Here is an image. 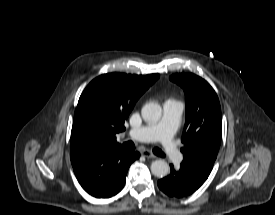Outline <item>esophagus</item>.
<instances>
[{"label":"esophagus","mask_w":275,"mask_h":215,"mask_svg":"<svg viewBox=\"0 0 275 215\" xmlns=\"http://www.w3.org/2000/svg\"><path fill=\"white\" fill-rule=\"evenodd\" d=\"M141 154L143 155V156H145L146 158H155L156 156L151 152V151H149V150H143L142 152H141Z\"/></svg>","instance_id":"obj_1"}]
</instances>
